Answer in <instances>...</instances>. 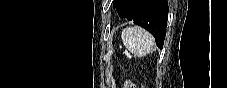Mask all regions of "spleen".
<instances>
[{"label":"spleen","mask_w":227,"mask_h":88,"mask_svg":"<svg viewBox=\"0 0 227 88\" xmlns=\"http://www.w3.org/2000/svg\"><path fill=\"white\" fill-rule=\"evenodd\" d=\"M124 46L135 56L143 57L154 47L153 36L141 27H126L121 34Z\"/></svg>","instance_id":"obj_1"}]
</instances>
